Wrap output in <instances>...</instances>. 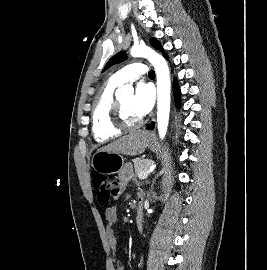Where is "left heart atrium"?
<instances>
[{"instance_id":"39dd6f15","label":"left heart atrium","mask_w":267,"mask_h":270,"mask_svg":"<svg viewBox=\"0 0 267 270\" xmlns=\"http://www.w3.org/2000/svg\"><path fill=\"white\" fill-rule=\"evenodd\" d=\"M154 104V91L149 84L139 83L133 97V110L139 117H144Z\"/></svg>"}]
</instances>
